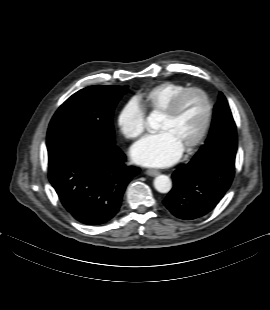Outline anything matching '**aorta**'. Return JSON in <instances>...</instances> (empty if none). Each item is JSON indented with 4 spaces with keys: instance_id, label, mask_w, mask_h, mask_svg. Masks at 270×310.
I'll return each mask as SVG.
<instances>
[{
    "instance_id": "762f6f07",
    "label": "aorta",
    "mask_w": 270,
    "mask_h": 310,
    "mask_svg": "<svg viewBox=\"0 0 270 310\" xmlns=\"http://www.w3.org/2000/svg\"><path fill=\"white\" fill-rule=\"evenodd\" d=\"M150 124L154 121V116L151 115L148 118ZM154 187L160 193H168L171 190L172 182L171 179L166 175H158L154 179Z\"/></svg>"
}]
</instances>
